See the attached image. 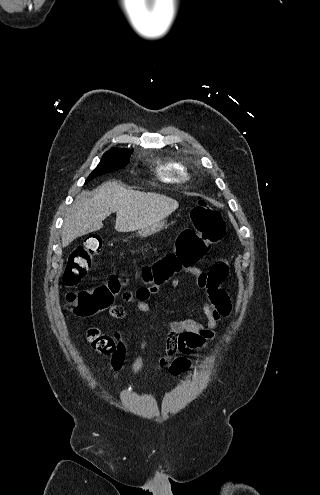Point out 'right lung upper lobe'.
Returning a JSON list of instances; mask_svg holds the SVG:
<instances>
[{
	"label": "right lung upper lobe",
	"instance_id": "right-lung-upper-lobe-1",
	"mask_svg": "<svg viewBox=\"0 0 320 495\" xmlns=\"http://www.w3.org/2000/svg\"><path fill=\"white\" fill-rule=\"evenodd\" d=\"M112 150H129V149H118V148H114V147H113V148H111V150H110V151H112Z\"/></svg>",
	"mask_w": 320,
	"mask_h": 495
}]
</instances>
